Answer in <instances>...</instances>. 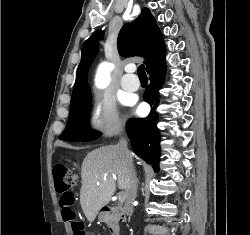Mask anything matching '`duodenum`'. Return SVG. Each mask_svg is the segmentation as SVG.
<instances>
[{"instance_id":"410a0bca","label":"duodenum","mask_w":250,"mask_h":235,"mask_svg":"<svg viewBox=\"0 0 250 235\" xmlns=\"http://www.w3.org/2000/svg\"><path fill=\"white\" fill-rule=\"evenodd\" d=\"M105 223L107 224L112 235H119L120 224L125 222V214L119 207H112L103 213Z\"/></svg>"}]
</instances>
